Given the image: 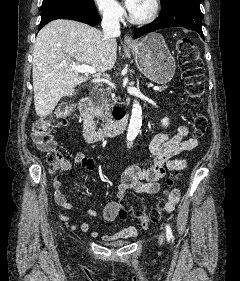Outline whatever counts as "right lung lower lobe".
Here are the masks:
<instances>
[{
  "label": "right lung lower lobe",
  "instance_id": "98d812e1",
  "mask_svg": "<svg viewBox=\"0 0 240 281\" xmlns=\"http://www.w3.org/2000/svg\"><path fill=\"white\" fill-rule=\"evenodd\" d=\"M55 19H71L95 26L100 21L98 12L80 11L73 8H57L41 15L39 29Z\"/></svg>",
  "mask_w": 240,
  "mask_h": 281
}]
</instances>
